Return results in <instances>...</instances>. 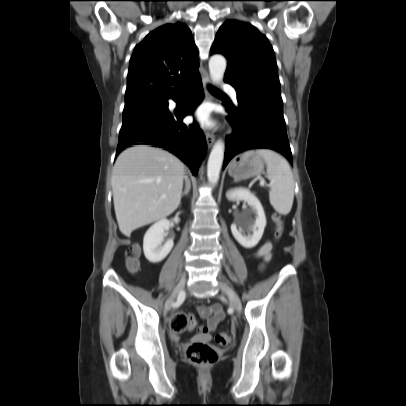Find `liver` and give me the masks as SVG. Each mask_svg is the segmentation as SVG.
Segmentation results:
<instances>
[{
    "label": "liver",
    "instance_id": "1",
    "mask_svg": "<svg viewBox=\"0 0 406 406\" xmlns=\"http://www.w3.org/2000/svg\"><path fill=\"white\" fill-rule=\"evenodd\" d=\"M184 171L178 158L159 148L137 145L123 151L111 181L121 233L129 237L137 228L172 214L181 201Z\"/></svg>",
    "mask_w": 406,
    "mask_h": 406
}]
</instances>
